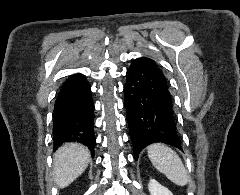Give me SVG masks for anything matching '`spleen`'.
I'll use <instances>...</instances> for the list:
<instances>
[{"mask_svg": "<svg viewBox=\"0 0 240 195\" xmlns=\"http://www.w3.org/2000/svg\"><path fill=\"white\" fill-rule=\"evenodd\" d=\"M148 157L158 171L165 173L166 177L177 183V185H186L188 183L187 171L176 151L164 145V143H151L147 147Z\"/></svg>", "mask_w": 240, "mask_h": 195, "instance_id": "3e777b00", "label": "spleen"}]
</instances>
